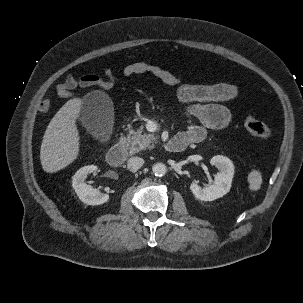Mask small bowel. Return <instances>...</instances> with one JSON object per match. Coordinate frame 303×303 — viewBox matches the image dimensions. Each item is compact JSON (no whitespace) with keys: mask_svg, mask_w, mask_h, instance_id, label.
Returning a JSON list of instances; mask_svg holds the SVG:
<instances>
[{"mask_svg":"<svg viewBox=\"0 0 303 303\" xmlns=\"http://www.w3.org/2000/svg\"><path fill=\"white\" fill-rule=\"evenodd\" d=\"M106 77L114 76L110 69H104ZM122 74L126 77L133 75H151L175 88L178 100L184 105L186 115L191 119L186 129L179 135L191 143H199L205 139L208 130L227 128L233 121L230 110L221 104L235 99L239 94L236 85L228 82L215 84H189L182 76L161 66L147 62H135L125 66ZM103 78L94 75L80 77L67 75L56 86V93L64 99L74 98V90L78 87L96 86L102 88ZM50 108V98L45 97L40 104V111L47 112Z\"/></svg>","mask_w":303,"mask_h":303,"instance_id":"1","label":"small bowel"}]
</instances>
